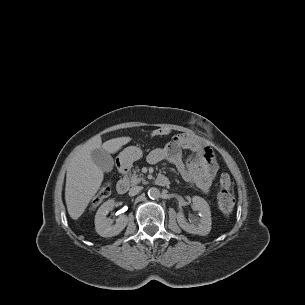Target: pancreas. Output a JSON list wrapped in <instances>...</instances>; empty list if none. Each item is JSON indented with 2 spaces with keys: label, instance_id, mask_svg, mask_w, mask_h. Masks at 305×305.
Segmentation results:
<instances>
[{
  "label": "pancreas",
  "instance_id": "1",
  "mask_svg": "<svg viewBox=\"0 0 305 305\" xmlns=\"http://www.w3.org/2000/svg\"><path fill=\"white\" fill-rule=\"evenodd\" d=\"M139 169L133 170V173L125 178V181L128 182L131 186L137 185L139 183H145V179L143 178V174H138Z\"/></svg>",
  "mask_w": 305,
  "mask_h": 305
}]
</instances>
